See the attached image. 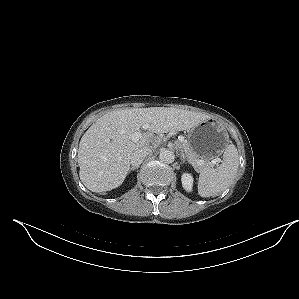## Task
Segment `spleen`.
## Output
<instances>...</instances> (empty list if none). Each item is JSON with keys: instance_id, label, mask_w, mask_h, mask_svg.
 <instances>
[{"instance_id": "3e777b00", "label": "spleen", "mask_w": 299, "mask_h": 299, "mask_svg": "<svg viewBox=\"0 0 299 299\" xmlns=\"http://www.w3.org/2000/svg\"><path fill=\"white\" fill-rule=\"evenodd\" d=\"M239 166L238 152L234 144L224 151L223 161L217 168L206 166L198 178V193L201 197L217 196L235 179Z\"/></svg>"}]
</instances>
